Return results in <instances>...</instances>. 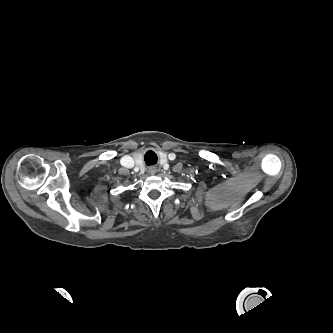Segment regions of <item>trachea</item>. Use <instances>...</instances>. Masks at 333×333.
<instances>
[{
    "label": "trachea",
    "mask_w": 333,
    "mask_h": 333,
    "mask_svg": "<svg viewBox=\"0 0 333 333\" xmlns=\"http://www.w3.org/2000/svg\"><path fill=\"white\" fill-rule=\"evenodd\" d=\"M144 159H145V162L148 166L152 165V164H156L157 160H158L157 155L153 151H148L145 154Z\"/></svg>",
    "instance_id": "obj_1"
}]
</instances>
